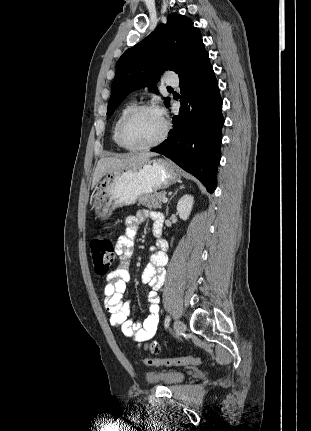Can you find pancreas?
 Returning <instances> with one entry per match:
<instances>
[{
	"label": "pancreas",
	"mask_w": 311,
	"mask_h": 431,
	"mask_svg": "<svg viewBox=\"0 0 311 431\" xmlns=\"http://www.w3.org/2000/svg\"><path fill=\"white\" fill-rule=\"evenodd\" d=\"M167 192H157V194H151V196H142L139 198L137 206H144L148 210H157V208H162L160 200L165 198Z\"/></svg>",
	"instance_id": "obj_1"
}]
</instances>
